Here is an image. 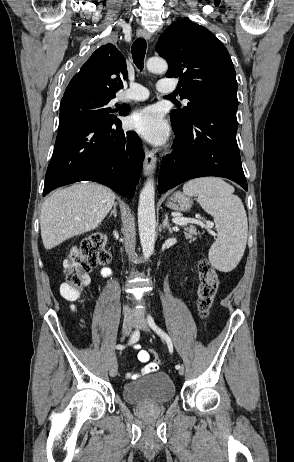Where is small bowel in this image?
Here are the masks:
<instances>
[{
  "instance_id": "obj_1",
  "label": "small bowel",
  "mask_w": 294,
  "mask_h": 462,
  "mask_svg": "<svg viewBox=\"0 0 294 462\" xmlns=\"http://www.w3.org/2000/svg\"><path fill=\"white\" fill-rule=\"evenodd\" d=\"M103 276H110L111 270L107 267L101 270ZM135 349L139 350L138 352V360L145 365L139 372H128L126 377L129 379H136L137 377L149 373L156 372L159 369V362L150 361V354L148 351L141 349L140 345L135 344Z\"/></svg>"
}]
</instances>
